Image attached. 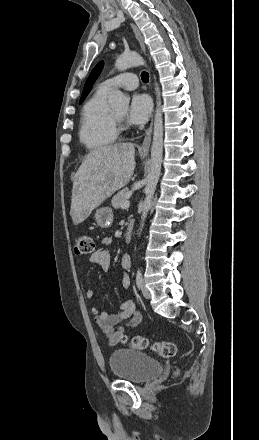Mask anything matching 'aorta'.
Instances as JSON below:
<instances>
[{
  "label": "aorta",
  "instance_id": "762f6f07",
  "mask_svg": "<svg viewBox=\"0 0 259 440\" xmlns=\"http://www.w3.org/2000/svg\"><path fill=\"white\" fill-rule=\"evenodd\" d=\"M144 65H145L144 59L137 53L121 54L115 62V67L119 71H124L134 66H144ZM155 92L157 98V107L154 117V134H153V142L151 147V165H150V171L147 176V185L145 187L146 197L143 202L140 231L142 230L144 221L152 205V199L160 176L161 163H162L163 117H162V109H161L160 89L157 84H155ZM129 103H130V97L125 95L120 90H114L110 95L109 105L112 108L126 110L129 107Z\"/></svg>",
  "mask_w": 259,
  "mask_h": 440
}]
</instances>
